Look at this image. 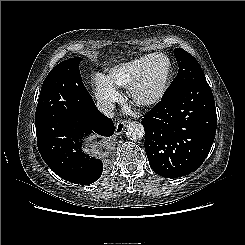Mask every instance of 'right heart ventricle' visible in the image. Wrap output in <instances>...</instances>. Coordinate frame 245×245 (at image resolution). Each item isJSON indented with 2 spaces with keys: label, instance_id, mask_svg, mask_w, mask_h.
Wrapping results in <instances>:
<instances>
[{
  "label": "right heart ventricle",
  "instance_id": "obj_1",
  "mask_svg": "<svg viewBox=\"0 0 245 245\" xmlns=\"http://www.w3.org/2000/svg\"><path fill=\"white\" fill-rule=\"evenodd\" d=\"M149 55L119 63L108 70L107 81L114 87L127 88L138 75Z\"/></svg>",
  "mask_w": 245,
  "mask_h": 245
}]
</instances>
